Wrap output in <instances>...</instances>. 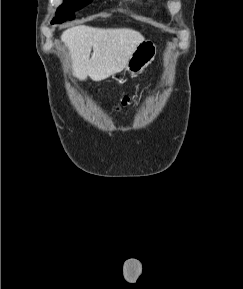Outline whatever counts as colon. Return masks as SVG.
I'll use <instances>...</instances> for the list:
<instances>
[{"label":"colon","instance_id":"colon-1","mask_svg":"<svg viewBox=\"0 0 243 289\" xmlns=\"http://www.w3.org/2000/svg\"><path fill=\"white\" fill-rule=\"evenodd\" d=\"M132 103V98L130 97H124L120 104L117 106V109H123L128 107Z\"/></svg>","mask_w":243,"mask_h":289}]
</instances>
